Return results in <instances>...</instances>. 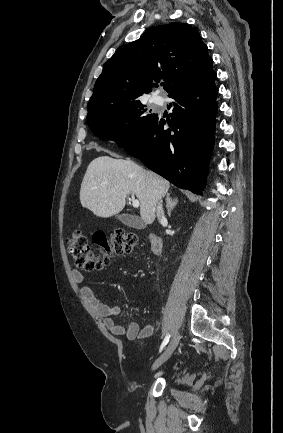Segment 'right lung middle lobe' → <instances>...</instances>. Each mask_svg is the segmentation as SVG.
<instances>
[{"label":"right lung middle lobe","mask_w":283,"mask_h":433,"mask_svg":"<svg viewBox=\"0 0 283 433\" xmlns=\"http://www.w3.org/2000/svg\"><path fill=\"white\" fill-rule=\"evenodd\" d=\"M144 107L140 100L109 107L87 115V124L99 138L113 140L126 149L144 135L157 116Z\"/></svg>","instance_id":"dd1d6c3e"}]
</instances>
